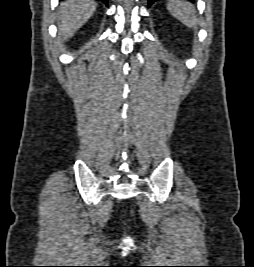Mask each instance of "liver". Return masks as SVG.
<instances>
[{"mask_svg":"<svg viewBox=\"0 0 254 267\" xmlns=\"http://www.w3.org/2000/svg\"><path fill=\"white\" fill-rule=\"evenodd\" d=\"M97 4L92 0H68L60 5L59 39L72 37L94 14Z\"/></svg>","mask_w":254,"mask_h":267,"instance_id":"obj_1","label":"liver"}]
</instances>
